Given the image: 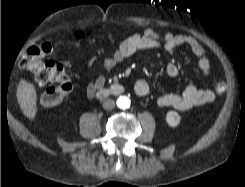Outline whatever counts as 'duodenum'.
<instances>
[{
  "label": "duodenum",
  "instance_id": "obj_1",
  "mask_svg": "<svg viewBox=\"0 0 245 187\" xmlns=\"http://www.w3.org/2000/svg\"><path fill=\"white\" fill-rule=\"evenodd\" d=\"M123 91V87L120 84H114L109 88H104L96 93L98 98H104L111 94H120Z\"/></svg>",
  "mask_w": 245,
  "mask_h": 187
}]
</instances>
